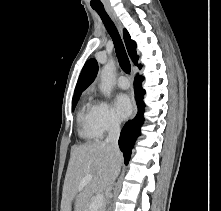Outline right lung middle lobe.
Wrapping results in <instances>:
<instances>
[{
    "label": "right lung middle lobe",
    "instance_id": "1",
    "mask_svg": "<svg viewBox=\"0 0 221 211\" xmlns=\"http://www.w3.org/2000/svg\"><path fill=\"white\" fill-rule=\"evenodd\" d=\"M80 96H77V97H73V101H72V110H74L77 102H78V99H79Z\"/></svg>",
    "mask_w": 221,
    "mask_h": 211
}]
</instances>
